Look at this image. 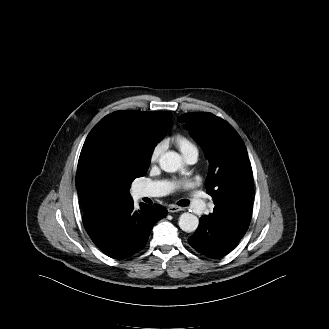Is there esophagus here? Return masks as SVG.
I'll return each instance as SVG.
<instances>
[{"label": "esophagus", "mask_w": 329, "mask_h": 329, "mask_svg": "<svg viewBox=\"0 0 329 329\" xmlns=\"http://www.w3.org/2000/svg\"><path fill=\"white\" fill-rule=\"evenodd\" d=\"M183 208L176 206V205H169L168 206V212L170 213H174V212H178V211H182Z\"/></svg>", "instance_id": "34e87169"}]
</instances>
